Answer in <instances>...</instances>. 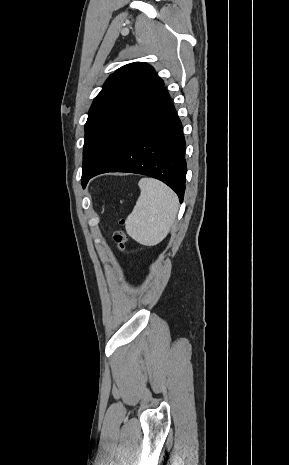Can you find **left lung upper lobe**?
<instances>
[{
	"instance_id": "obj_1",
	"label": "left lung upper lobe",
	"mask_w": 289,
	"mask_h": 465,
	"mask_svg": "<svg viewBox=\"0 0 289 465\" xmlns=\"http://www.w3.org/2000/svg\"><path fill=\"white\" fill-rule=\"evenodd\" d=\"M164 86L147 63L122 66L94 99L85 124L82 185L90 172L131 127L144 106Z\"/></svg>"
}]
</instances>
